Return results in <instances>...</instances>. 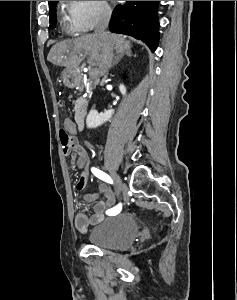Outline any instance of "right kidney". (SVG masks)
I'll use <instances>...</instances> for the list:
<instances>
[{
    "instance_id": "right-kidney-1",
    "label": "right kidney",
    "mask_w": 237,
    "mask_h": 300,
    "mask_svg": "<svg viewBox=\"0 0 237 300\" xmlns=\"http://www.w3.org/2000/svg\"><path fill=\"white\" fill-rule=\"evenodd\" d=\"M119 91L122 95H126V87L124 85H119ZM115 109H110V111H105V113H97V111H90L87 115L86 125L88 129H96V127H100L106 121H110L111 117L114 115Z\"/></svg>"
}]
</instances>
